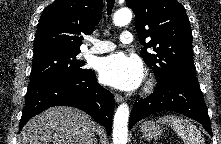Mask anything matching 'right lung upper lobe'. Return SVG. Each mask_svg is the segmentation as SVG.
<instances>
[{"instance_id": "1", "label": "right lung upper lobe", "mask_w": 221, "mask_h": 144, "mask_svg": "<svg viewBox=\"0 0 221 144\" xmlns=\"http://www.w3.org/2000/svg\"><path fill=\"white\" fill-rule=\"evenodd\" d=\"M102 0H55L41 15L34 53L46 50L80 51L83 34L89 35L100 20Z\"/></svg>"}]
</instances>
